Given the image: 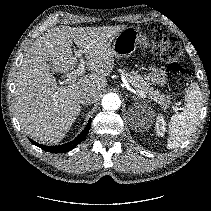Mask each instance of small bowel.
<instances>
[{
  "label": "small bowel",
  "instance_id": "small-bowel-1",
  "mask_svg": "<svg viewBox=\"0 0 211 211\" xmlns=\"http://www.w3.org/2000/svg\"><path fill=\"white\" fill-rule=\"evenodd\" d=\"M148 80L153 84H162L165 80L163 71L159 69H153L148 75Z\"/></svg>",
  "mask_w": 211,
  "mask_h": 211
}]
</instances>
